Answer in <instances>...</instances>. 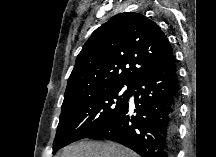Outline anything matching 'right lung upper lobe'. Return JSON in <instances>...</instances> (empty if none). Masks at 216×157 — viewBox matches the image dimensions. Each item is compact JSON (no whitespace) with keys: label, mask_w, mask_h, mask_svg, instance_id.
I'll return each mask as SVG.
<instances>
[{"label":"right lung upper lobe","mask_w":216,"mask_h":157,"mask_svg":"<svg viewBox=\"0 0 216 157\" xmlns=\"http://www.w3.org/2000/svg\"><path fill=\"white\" fill-rule=\"evenodd\" d=\"M159 26L138 13H120L97 28L78 54L64 94L70 99L95 89L132 85L172 54Z\"/></svg>","instance_id":"right-lung-upper-lobe-1"}]
</instances>
